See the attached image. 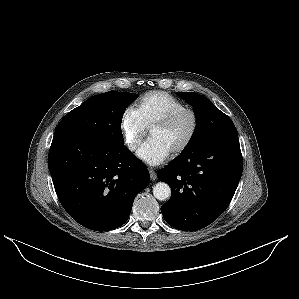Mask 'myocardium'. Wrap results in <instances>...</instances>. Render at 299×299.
Masks as SVG:
<instances>
[{
    "label": "myocardium",
    "mask_w": 299,
    "mask_h": 299,
    "mask_svg": "<svg viewBox=\"0 0 299 299\" xmlns=\"http://www.w3.org/2000/svg\"><path fill=\"white\" fill-rule=\"evenodd\" d=\"M186 116L191 118L192 121L191 130L189 132V135L185 139V141L171 153L173 157L183 154L193 143L199 128L198 114L194 110L187 108L179 112H176L172 115H169L168 117L156 122L154 125H152L150 130L151 132L153 129L169 128Z\"/></svg>",
    "instance_id": "1"
}]
</instances>
